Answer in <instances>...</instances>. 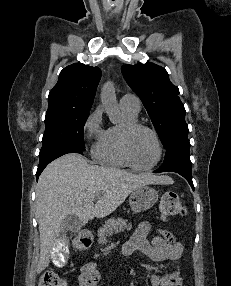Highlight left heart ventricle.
<instances>
[{
  "instance_id": "obj_1",
  "label": "left heart ventricle",
  "mask_w": 231,
  "mask_h": 286,
  "mask_svg": "<svg viewBox=\"0 0 231 286\" xmlns=\"http://www.w3.org/2000/svg\"><path fill=\"white\" fill-rule=\"evenodd\" d=\"M130 152L138 166L146 167L151 165L158 155L154 137L146 130H138L131 137Z\"/></svg>"
}]
</instances>
